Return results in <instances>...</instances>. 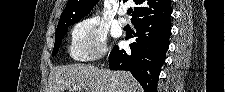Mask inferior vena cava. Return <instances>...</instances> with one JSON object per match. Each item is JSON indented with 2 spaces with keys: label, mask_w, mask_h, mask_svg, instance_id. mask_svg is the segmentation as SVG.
I'll list each match as a JSON object with an SVG mask.
<instances>
[{
  "label": "inferior vena cava",
  "mask_w": 225,
  "mask_h": 92,
  "mask_svg": "<svg viewBox=\"0 0 225 92\" xmlns=\"http://www.w3.org/2000/svg\"><path fill=\"white\" fill-rule=\"evenodd\" d=\"M112 81H113V83L115 82V77H112Z\"/></svg>",
  "instance_id": "inferior-vena-cava-1"
}]
</instances>
